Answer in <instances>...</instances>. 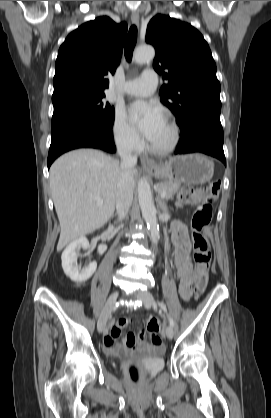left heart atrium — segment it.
Listing matches in <instances>:
<instances>
[{
	"label": "left heart atrium",
	"instance_id": "1",
	"mask_svg": "<svg viewBox=\"0 0 271 418\" xmlns=\"http://www.w3.org/2000/svg\"><path fill=\"white\" fill-rule=\"evenodd\" d=\"M128 115L131 122L149 141L155 137L165 120L159 108L145 101L132 104Z\"/></svg>",
	"mask_w": 271,
	"mask_h": 418
}]
</instances>
